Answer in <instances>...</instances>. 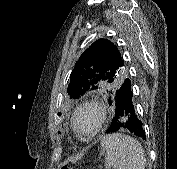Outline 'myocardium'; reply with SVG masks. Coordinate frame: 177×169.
<instances>
[{
  "label": "myocardium",
  "mask_w": 177,
  "mask_h": 169,
  "mask_svg": "<svg viewBox=\"0 0 177 169\" xmlns=\"http://www.w3.org/2000/svg\"><path fill=\"white\" fill-rule=\"evenodd\" d=\"M83 110H91L96 115V127L90 134H87V135L83 134L77 126L78 115ZM105 118H106L105 110L99 103H97L96 101H93V100H85V101L81 102L75 108V110L72 114L71 124H72V128H73L74 132L76 133V135L80 139L90 140V139L94 138L101 131V129L103 128L104 123H105Z\"/></svg>",
  "instance_id": "1"
}]
</instances>
